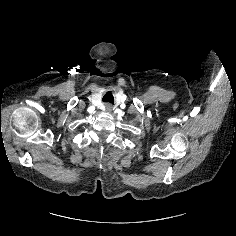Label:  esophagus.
Masks as SVG:
<instances>
[{"label":"esophagus","instance_id":"34e87169","mask_svg":"<svg viewBox=\"0 0 236 236\" xmlns=\"http://www.w3.org/2000/svg\"><path fill=\"white\" fill-rule=\"evenodd\" d=\"M105 111H106V112H111V111H112V105L109 104V103H106V104H105Z\"/></svg>","mask_w":236,"mask_h":236}]
</instances>
